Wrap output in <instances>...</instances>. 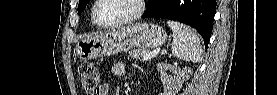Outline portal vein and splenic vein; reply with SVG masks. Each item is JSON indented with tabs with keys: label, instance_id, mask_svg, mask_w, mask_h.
Segmentation results:
<instances>
[{
	"label": "portal vein and splenic vein",
	"instance_id": "1",
	"mask_svg": "<svg viewBox=\"0 0 277 95\" xmlns=\"http://www.w3.org/2000/svg\"><path fill=\"white\" fill-rule=\"evenodd\" d=\"M160 51V49L151 51L150 53H148L146 56L143 57V61L149 60L151 58H153L154 56H156L158 54V52Z\"/></svg>",
	"mask_w": 277,
	"mask_h": 95
}]
</instances>
